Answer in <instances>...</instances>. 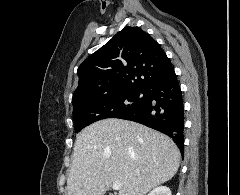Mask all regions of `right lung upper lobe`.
I'll list each match as a JSON object with an SVG mask.
<instances>
[{
  "instance_id": "obj_1",
  "label": "right lung upper lobe",
  "mask_w": 240,
  "mask_h": 195,
  "mask_svg": "<svg viewBox=\"0 0 240 195\" xmlns=\"http://www.w3.org/2000/svg\"><path fill=\"white\" fill-rule=\"evenodd\" d=\"M174 71L160 44L139 27H125L79 66L72 102L124 89L144 91Z\"/></svg>"
}]
</instances>
